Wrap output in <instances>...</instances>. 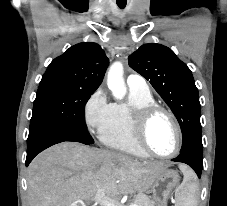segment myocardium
<instances>
[{
    "label": "myocardium",
    "instance_id": "myocardium-1",
    "mask_svg": "<svg viewBox=\"0 0 227 206\" xmlns=\"http://www.w3.org/2000/svg\"><path fill=\"white\" fill-rule=\"evenodd\" d=\"M159 113L165 114L172 122L175 131H176V147L173 152L169 154H159L155 152L149 145L147 135L149 125L152 119ZM132 129H133V136L137 143V145L148 155L157 157V158H172L176 156L179 151L181 150L182 143H183V135L181 126L176 118V116L166 107L161 106L157 103L150 104L139 109H136L133 112L132 118Z\"/></svg>",
    "mask_w": 227,
    "mask_h": 206
}]
</instances>
